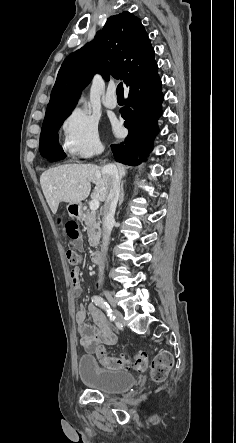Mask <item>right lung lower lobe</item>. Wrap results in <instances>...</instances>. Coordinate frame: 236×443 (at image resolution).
Masks as SVG:
<instances>
[{
    "mask_svg": "<svg viewBox=\"0 0 236 443\" xmlns=\"http://www.w3.org/2000/svg\"><path fill=\"white\" fill-rule=\"evenodd\" d=\"M155 62L147 70L134 76L126 86L129 98L121 109L125 119L124 126L129 134L124 142L112 144L115 160L128 165H137L144 161L152 150V143L158 133L157 120L162 114L161 80ZM48 161L65 158L62 148L53 146L40 152Z\"/></svg>",
    "mask_w": 236,
    "mask_h": 443,
    "instance_id": "98d812e1",
    "label": "right lung lower lobe"
}]
</instances>
